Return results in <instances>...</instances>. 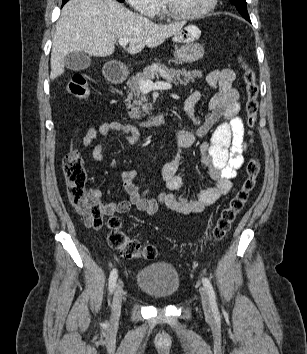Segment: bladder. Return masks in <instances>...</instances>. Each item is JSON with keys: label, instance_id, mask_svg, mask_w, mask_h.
<instances>
[{"label": "bladder", "instance_id": "1", "mask_svg": "<svg viewBox=\"0 0 307 354\" xmlns=\"http://www.w3.org/2000/svg\"><path fill=\"white\" fill-rule=\"evenodd\" d=\"M137 284L143 292L156 299H169L179 290L180 276L172 264L156 262L138 272Z\"/></svg>", "mask_w": 307, "mask_h": 354}]
</instances>
